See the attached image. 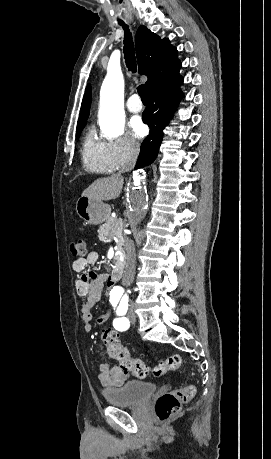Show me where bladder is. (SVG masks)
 I'll return each mask as SVG.
<instances>
[{
    "label": "bladder",
    "instance_id": "31cf9c89",
    "mask_svg": "<svg viewBox=\"0 0 271 459\" xmlns=\"http://www.w3.org/2000/svg\"><path fill=\"white\" fill-rule=\"evenodd\" d=\"M156 391V384L146 381L127 382L117 391H104L109 405H141Z\"/></svg>",
    "mask_w": 271,
    "mask_h": 459
}]
</instances>
